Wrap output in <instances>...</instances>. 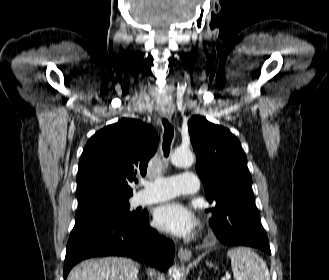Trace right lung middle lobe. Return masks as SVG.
Masks as SVG:
<instances>
[{"mask_svg": "<svg viewBox=\"0 0 329 280\" xmlns=\"http://www.w3.org/2000/svg\"><path fill=\"white\" fill-rule=\"evenodd\" d=\"M129 208V198L90 196L83 199H78L76 222L102 212L119 214L131 220H137L140 218V212H130Z\"/></svg>", "mask_w": 329, "mask_h": 280, "instance_id": "right-lung-middle-lobe-1", "label": "right lung middle lobe"}]
</instances>
